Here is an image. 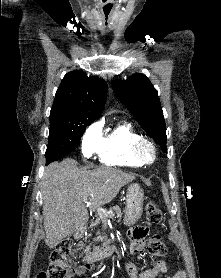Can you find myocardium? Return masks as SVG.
Segmentation results:
<instances>
[{
	"mask_svg": "<svg viewBox=\"0 0 221 278\" xmlns=\"http://www.w3.org/2000/svg\"><path fill=\"white\" fill-rule=\"evenodd\" d=\"M145 147L151 149V156H147L145 154ZM131 154L141 164L149 165L152 164L157 158V148L156 145L149 138L140 136L132 143Z\"/></svg>",
	"mask_w": 221,
	"mask_h": 278,
	"instance_id": "f54148a6",
	"label": "myocardium"
}]
</instances>
